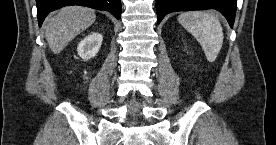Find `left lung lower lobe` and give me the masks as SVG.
Returning <instances> with one entry per match:
<instances>
[{
  "label": "left lung lower lobe",
  "mask_w": 276,
  "mask_h": 145,
  "mask_svg": "<svg viewBox=\"0 0 276 145\" xmlns=\"http://www.w3.org/2000/svg\"><path fill=\"white\" fill-rule=\"evenodd\" d=\"M210 8L220 11L230 27H233L237 0H156L157 23L159 24L163 17L171 12Z\"/></svg>",
  "instance_id": "obj_1"
}]
</instances>
